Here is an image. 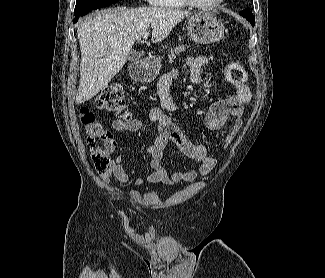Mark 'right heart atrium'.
Listing matches in <instances>:
<instances>
[{"label": "right heart atrium", "instance_id": "d8ad5b80", "mask_svg": "<svg viewBox=\"0 0 325 278\" xmlns=\"http://www.w3.org/2000/svg\"><path fill=\"white\" fill-rule=\"evenodd\" d=\"M144 1H147V2H149V3H151V4H154V1H155V0H144Z\"/></svg>", "mask_w": 325, "mask_h": 278}]
</instances>
